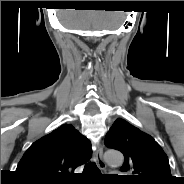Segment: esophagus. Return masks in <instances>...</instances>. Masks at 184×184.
<instances>
[{"mask_svg":"<svg viewBox=\"0 0 184 184\" xmlns=\"http://www.w3.org/2000/svg\"><path fill=\"white\" fill-rule=\"evenodd\" d=\"M93 158L95 160V162L97 163L98 167L101 169V170H105L106 169V163L103 159V149H102V146L99 145L97 147V149L95 150L94 154H93Z\"/></svg>","mask_w":184,"mask_h":184,"instance_id":"obj_1","label":"esophagus"}]
</instances>
